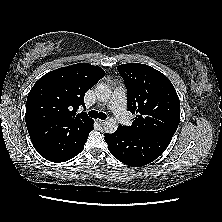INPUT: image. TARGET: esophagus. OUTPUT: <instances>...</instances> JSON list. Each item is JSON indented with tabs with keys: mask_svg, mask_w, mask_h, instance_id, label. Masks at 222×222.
I'll use <instances>...</instances> for the list:
<instances>
[{
	"mask_svg": "<svg viewBox=\"0 0 222 222\" xmlns=\"http://www.w3.org/2000/svg\"><path fill=\"white\" fill-rule=\"evenodd\" d=\"M97 122L100 124V125H103L105 123L104 120H97Z\"/></svg>",
	"mask_w": 222,
	"mask_h": 222,
	"instance_id": "1",
	"label": "esophagus"
}]
</instances>
